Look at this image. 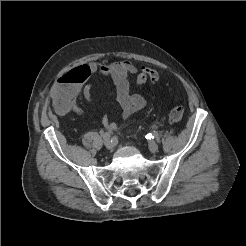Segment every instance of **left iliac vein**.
<instances>
[{
    "mask_svg": "<svg viewBox=\"0 0 246 246\" xmlns=\"http://www.w3.org/2000/svg\"><path fill=\"white\" fill-rule=\"evenodd\" d=\"M148 148L151 152H157L158 149H159V146L156 142H150L149 145H148Z\"/></svg>",
    "mask_w": 246,
    "mask_h": 246,
    "instance_id": "4c4485c4",
    "label": "left iliac vein"
}]
</instances>
